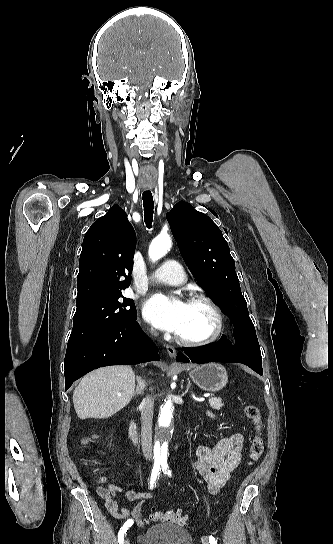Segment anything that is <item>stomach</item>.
I'll return each instance as SVG.
<instances>
[{
  "label": "stomach",
  "instance_id": "obj_1",
  "mask_svg": "<svg viewBox=\"0 0 333 544\" xmlns=\"http://www.w3.org/2000/svg\"><path fill=\"white\" fill-rule=\"evenodd\" d=\"M189 375L197 386L209 392L220 391L228 381L226 369L221 364L212 362L194 366Z\"/></svg>",
  "mask_w": 333,
  "mask_h": 544
}]
</instances>
